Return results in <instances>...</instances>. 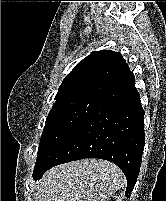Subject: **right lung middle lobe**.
<instances>
[{"instance_id":"dd1d6c3e","label":"right lung middle lobe","mask_w":166,"mask_h":201,"mask_svg":"<svg viewBox=\"0 0 166 201\" xmlns=\"http://www.w3.org/2000/svg\"><path fill=\"white\" fill-rule=\"evenodd\" d=\"M103 100L104 96L89 95L53 105L41 136L34 173L46 164L54 151Z\"/></svg>"}]
</instances>
